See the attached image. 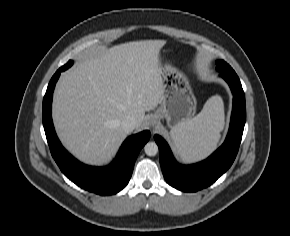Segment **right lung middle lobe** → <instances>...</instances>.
Here are the masks:
<instances>
[{"mask_svg": "<svg viewBox=\"0 0 290 236\" xmlns=\"http://www.w3.org/2000/svg\"><path fill=\"white\" fill-rule=\"evenodd\" d=\"M73 61H69L67 64H65L64 66H62L60 69L61 70H66L68 69L70 66H72Z\"/></svg>", "mask_w": 290, "mask_h": 236, "instance_id": "dd1d6c3e", "label": "right lung middle lobe"}]
</instances>
